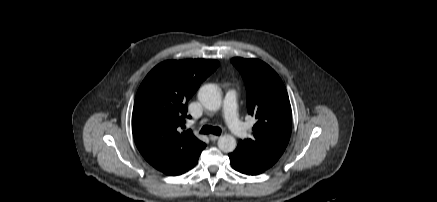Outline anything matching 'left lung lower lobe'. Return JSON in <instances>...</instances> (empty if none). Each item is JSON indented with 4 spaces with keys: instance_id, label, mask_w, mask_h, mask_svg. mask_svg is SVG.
Masks as SVG:
<instances>
[{
    "instance_id": "0a47b994",
    "label": "left lung lower lobe",
    "mask_w": 437,
    "mask_h": 202,
    "mask_svg": "<svg viewBox=\"0 0 437 202\" xmlns=\"http://www.w3.org/2000/svg\"><path fill=\"white\" fill-rule=\"evenodd\" d=\"M229 158L235 170L247 175H258L271 167L252 157L239 146L229 154Z\"/></svg>"
}]
</instances>
